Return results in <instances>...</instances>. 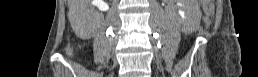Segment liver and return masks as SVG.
Instances as JSON below:
<instances>
[{"label": "liver", "instance_id": "liver-1", "mask_svg": "<svg viewBox=\"0 0 258 77\" xmlns=\"http://www.w3.org/2000/svg\"><path fill=\"white\" fill-rule=\"evenodd\" d=\"M88 3L89 0H69L68 17L71 24L75 22L77 16H85V8Z\"/></svg>", "mask_w": 258, "mask_h": 77}]
</instances>
